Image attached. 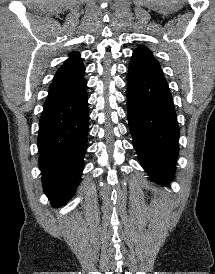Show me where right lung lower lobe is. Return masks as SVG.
I'll list each match as a JSON object with an SVG mask.
<instances>
[{
	"instance_id": "1",
	"label": "right lung lower lobe",
	"mask_w": 215,
	"mask_h": 274,
	"mask_svg": "<svg viewBox=\"0 0 215 274\" xmlns=\"http://www.w3.org/2000/svg\"><path fill=\"white\" fill-rule=\"evenodd\" d=\"M86 83L69 98L45 106L39 121V167L54 207L74 195L84 167L88 134Z\"/></svg>"
}]
</instances>
